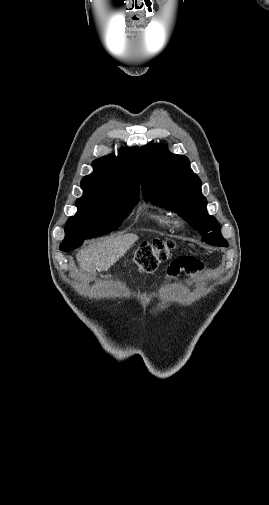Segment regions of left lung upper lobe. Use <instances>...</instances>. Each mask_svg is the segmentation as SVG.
<instances>
[{"label":"left lung upper lobe","mask_w":269,"mask_h":505,"mask_svg":"<svg viewBox=\"0 0 269 505\" xmlns=\"http://www.w3.org/2000/svg\"><path fill=\"white\" fill-rule=\"evenodd\" d=\"M142 193L146 201L178 213L214 246H228L216 219L206 210L202 182L190 168L187 157L168 152L162 145L141 148Z\"/></svg>","instance_id":"left-lung-upper-lobe-1"}]
</instances>
